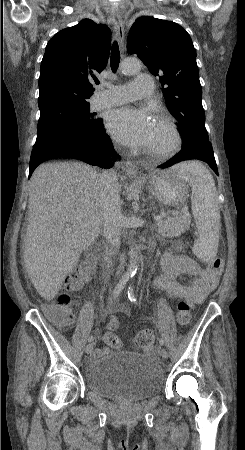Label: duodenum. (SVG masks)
I'll return each instance as SVG.
<instances>
[{"mask_svg":"<svg viewBox=\"0 0 245 450\" xmlns=\"http://www.w3.org/2000/svg\"><path fill=\"white\" fill-rule=\"evenodd\" d=\"M103 263L104 265L112 270H118L120 267V264L115 261L114 257H113V253H112V249L110 247H108L103 255Z\"/></svg>","mask_w":245,"mask_h":450,"instance_id":"410a0bca","label":"duodenum"}]
</instances>
